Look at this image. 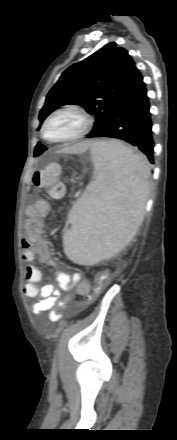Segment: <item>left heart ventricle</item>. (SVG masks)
I'll list each match as a JSON object with an SVG mask.
<instances>
[{
    "instance_id": "left-heart-ventricle-1",
    "label": "left heart ventricle",
    "mask_w": 177,
    "mask_h": 440,
    "mask_svg": "<svg viewBox=\"0 0 177 440\" xmlns=\"http://www.w3.org/2000/svg\"><path fill=\"white\" fill-rule=\"evenodd\" d=\"M81 127L79 118L72 114H59L55 116L46 128L49 139H60L76 132Z\"/></svg>"
}]
</instances>
